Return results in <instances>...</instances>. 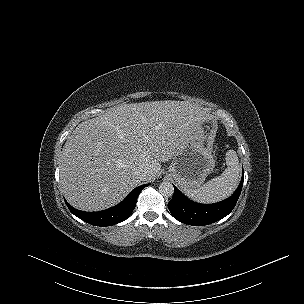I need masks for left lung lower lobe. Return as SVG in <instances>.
<instances>
[{
	"instance_id": "left-lung-lower-lobe-1",
	"label": "left lung lower lobe",
	"mask_w": 304,
	"mask_h": 304,
	"mask_svg": "<svg viewBox=\"0 0 304 304\" xmlns=\"http://www.w3.org/2000/svg\"><path fill=\"white\" fill-rule=\"evenodd\" d=\"M244 181V171L240 184L233 195L215 204H199L191 201L174 187V195L168 208L175 219L193 225L203 226L219 221L227 216L235 207Z\"/></svg>"
}]
</instances>
